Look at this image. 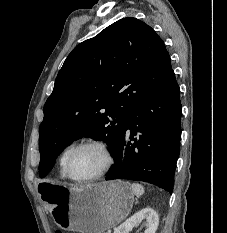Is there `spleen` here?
I'll return each instance as SVG.
<instances>
[{
    "mask_svg": "<svg viewBox=\"0 0 227 233\" xmlns=\"http://www.w3.org/2000/svg\"><path fill=\"white\" fill-rule=\"evenodd\" d=\"M132 191L137 197H139L144 193V187L138 183H133Z\"/></svg>",
    "mask_w": 227,
    "mask_h": 233,
    "instance_id": "3e777b00",
    "label": "spleen"
}]
</instances>
